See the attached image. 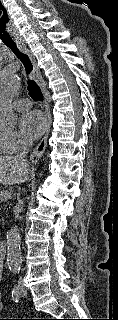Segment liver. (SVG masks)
<instances>
[{"instance_id":"obj_1","label":"liver","mask_w":118,"mask_h":320,"mask_svg":"<svg viewBox=\"0 0 118 320\" xmlns=\"http://www.w3.org/2000/svg\"><path fill=\"white\" fill-rule=\"evenodd\" d=\"M28 179V165L14 156H0V183L14 185Z\"/></svg>"}]
</instances>
